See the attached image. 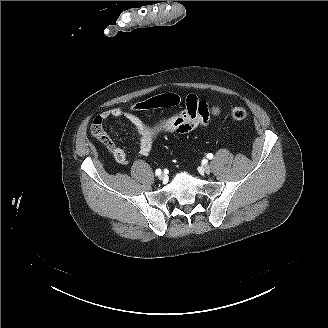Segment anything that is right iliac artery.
<instances>
[{
  "instance_id": "obj_1",
  "label": "right iliac artery",
  "mask_w": 328,
  "mask_h": 328,
  "mask_svg": "<svg viewBox=\"0 0 328 328\" xmlns=\"http://www.w3.org/2000/svg\"><path fill=\"white\" fill-rule=\"evenodd\" d=\"M155 174H156V175H160V174H161V169H157V170L155 171Z\"/></svg>"
}]
</instances>
